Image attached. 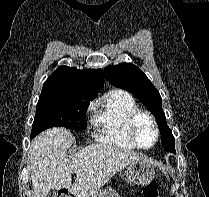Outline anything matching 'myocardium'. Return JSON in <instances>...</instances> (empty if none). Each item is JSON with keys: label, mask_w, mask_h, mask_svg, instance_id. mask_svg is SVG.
<instances>
[{"label": "myocardium", "mask_w": 209, "mask_h": 197, "mask_svg": "<svg viewBox=\"0 0 209 197\" xmlns=\"http://www.w3.org/2000/svg\"><path fill=\"white\" fill-rule=\"evenodd\" d=\"M143 116L147 117L150 120L155 131V140L153 144L148 147L142 146L140 144L138 137H137V132H136L138 120ZM128 132H129L130 139L135 144V146L144 150H149V149L154 148L156 144L158 143L159 136H160L159 127H158L155 117L149 111L141 110V109H138L131 114L129 118Z\"/></svg>", "instance_id": "obj_1"}]
</instances>
